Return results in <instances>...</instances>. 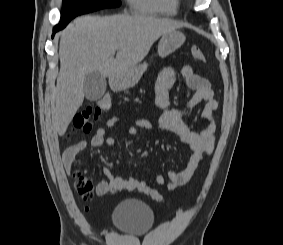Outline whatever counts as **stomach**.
Instances as JSON below:
<instances>
[{
	"instance_id": "stomach-1",
	"label": "stomach",
	"mask_w": 283,
	"mask_h": 245,
	"mask_svg": "<svg viewBox=\"0 0 283 245\" xmlns=\"http://www.w3.org/2000/svg\"><path fill=\"white\" fill-rule=\"evenodd\" d=\"M185 41V36L179 31H171L162 35L158 43V55L162 58L177 50ZM148 64L142 63L125 73L112 78L113 85L118 89H128L135 86L147 70Z\"/></svg>"
}]
</instances>
